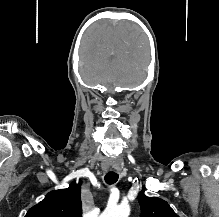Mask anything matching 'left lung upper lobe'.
<instances>
[{
  "mask_svg": "<svg viewBox=\"0 0 219 217\" xmlns=\"http://www.w3.org/2000/svg\"><path fill=\"white\" fill-rule=\"evenodd\" d=\"M141 217H178L168 203L157 197H147L141 191L138 196Z\"/></svg>",
  "mask_w": 219,
  "mask_h": 217,
  "instance_id": "5c2ea615",
  "label": "left lung upper lobe"
}]
</instances>
